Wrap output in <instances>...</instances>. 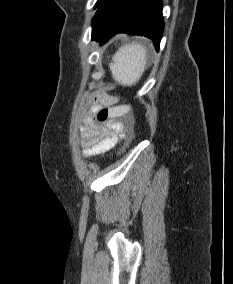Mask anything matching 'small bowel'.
<instances>
[{
    "label": "small bowel",
    "mask_w": 233,
    "mask_h": 284,
    "mask_svg": "<svg viewBox=\"0 0 233 284\" xmlns=\"http://www.w3.org/2000/svg\"><path fill=\"white\" fill-rule=\"evenodd\" d=\"M97 101L112 106L116 100L108 95H99ZM132 133V118L124 116L121 120H109L105 125L95 122L89 113L81 127V144L85 156H95L112 149L120 140Z\"/></svg>",
    "instance_id": "small-bowel-1"
}]
</instances>
